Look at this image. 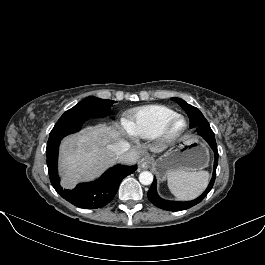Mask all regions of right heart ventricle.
<instances>
[{
  "label": "right heart ventricle",
  "mask_w": 265,
  "mask_h": 265,
  "mask_svg": "<svg viewBox=\"0 0 265 265\" xmlns=\"http://www.w3.org/2000/svg\"><path fill=\"white\" fill-rule=\"evenodd\" d=\"M176 112L163 105H147L125 112L124 126L136 138L152 139L158 136L164 123Z\"/></svg>",
  "instance_id": "e07e8e85"
}]
</instances>
